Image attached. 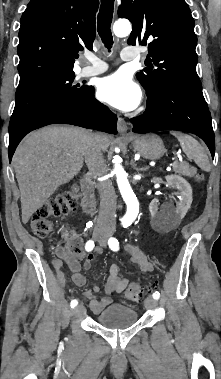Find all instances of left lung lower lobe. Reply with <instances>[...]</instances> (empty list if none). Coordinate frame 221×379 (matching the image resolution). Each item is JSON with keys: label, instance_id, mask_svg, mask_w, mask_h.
<instances>
[{"label": "left lung lower lobe", "instance_id": "0a47b994", "mask_svg": "<svg viewBox=\"0 0 221 379\" xmlns=\"http://www.w3.org/2000/svg\"><path fill=\"white\" fill-rule=\"evenodd\" d=\"M146 111L132 118L133 132L178 130L196 134L215 153L211 115L202 92L157 85L147 93Z\"/></svg>", "mask_w": 221, "mask_h": 379}]
</instances>
